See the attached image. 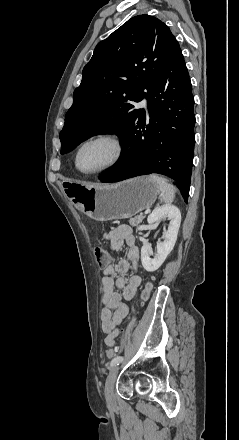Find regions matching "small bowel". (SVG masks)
Segmentation results:
<instances>
[{"instance_id":"1","label":"small bowel","mask_w":239,"mask_h":440,"mask_svg":"<svg viewBox=\"0 0 239 440\" xmlns=\"http://www.w3.org/2000/svg\"><path fill=\"white\" fill-rule=\"evenodd\" d=\"M113 251L119 250L124 244L128 246L127 258L121 259L117 264H109L104 268L103 309L101 311V329L106 334L105 343L114 346L118 335V326L128 315L129 308L126 301H130L136 294L141 284L138 274L139 249L136 245L132 228L128 225H119L106 234ZM132 271L128 280L122 276ZM116 288L122 292L119 293Z\"/></svg>"}]
</instances>
